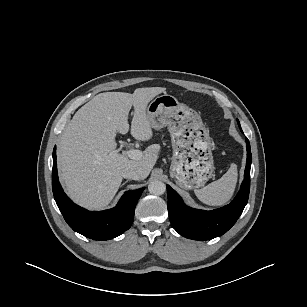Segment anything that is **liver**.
<instances>
[{"instance_id":"liver-1","label":"liver","mask_w":307,"mask_h":307,"mask_svg":"<svg viewBox=\"0 0 307 307\" xmlns=\"http://www.w3.org/2000/svg\"><path fill=\"white\" fill-rule=\"evenodd\" d=\"M163 87L138 88L133 94L105 92L82 106L67 124L57 149L58 170L70 198L91 210L106 207L121 182V172L133 168L145 179L154 167L160 146L151 145L140 160H129L117 150L116 134L129 131L128 114L134 107L131 135L150 140L152 127L147 105Z\"/></svg>"}]
</instances>
